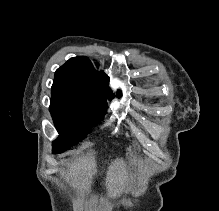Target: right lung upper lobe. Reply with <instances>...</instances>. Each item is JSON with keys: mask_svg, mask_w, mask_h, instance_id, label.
<instances>
[{"mask_svg": "<svg viewBox=\"0 0 219 211\" xmlns=\"http://www.w3.org/2000/svg\"><path fill=\"white\" fill-rule=\"evenodd\" d=\"M108 82L109 77L98 73L87 57H74L57 69L51 100L106 105V99L112 98V92L107 88Z\"/></svg>", "mask_w": 219, "mask_h": 211, "instance_id": "cb5924a9", "label": "right lung upper lobe"}]
</instances>
